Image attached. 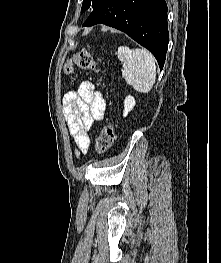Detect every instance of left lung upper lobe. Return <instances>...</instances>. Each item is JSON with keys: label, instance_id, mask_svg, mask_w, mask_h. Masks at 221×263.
Wrapping results in <instances>:
<instances>
[{"label": "left lung upper lobe", "instance_id": "left-lung-upper-lobe-1", "mask_svg": "<svg viewBox=\"0 0 221 263\" xmlns=\"http://www.w3.org/2000/svg\"><path fill=\"white\" fill-rule=\"evenodd\" d=\"M103 0H84L81 8V13L85 12L89 8H96Z\"/></svg>", "mask_w": 221, "mask_h": 263}]
</instances>
